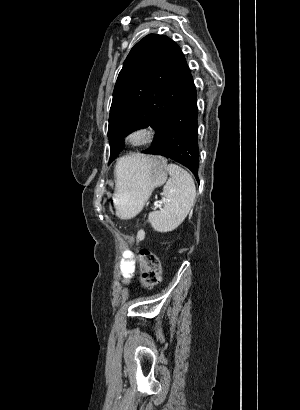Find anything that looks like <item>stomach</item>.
<instances>
[{
	"mask_svg": "<svg viewBox=\"0 0 300 410\" xmlns=\"http://www.w3.org/2000/svg\"><path fill=\"white\" fill-rule=\"evenodd\" d=\"M129 157V156H128ZM123 170L109 209L121 219L135 217L144 207L152 191L167 180V161L162 157L146 156L138 163L130 161Z\"/></svg>",
	"mask_w": 300,
	"mask_h": 410,
	"instance_id": "0dacf381",
	"label": "stomach"
}]
</instances>
